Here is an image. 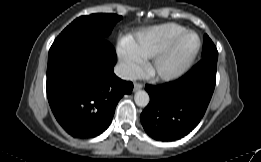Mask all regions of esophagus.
Listing matches in <instances>:
<instances>
[{
	"label": "esophagus",
	"mask_w": 261,
	"mask_h": 162,
	"mask_svg": "<svg viewBox=\"0 0 261 162\" xmlns=\"http://www.w3.org/2000/svg\"><path fill=\"white\" fill-rule=\"evenodd\" d=\"M143 88V85L140 83H134V87H133V91H138L141 90Z\"/></svg>",
	"instance_id": "esophagus-1"
}]
</instances>
